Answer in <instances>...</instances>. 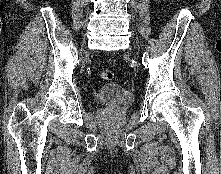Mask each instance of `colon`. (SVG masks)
<instances>
[{"label":"colon","instance_id":"1","mask_svg":"<svg viewBox=\"0 0 221 174\" xmlns=\"http://www.w3.org/2000/svg\"><path fill=\"white\" fill-rule=\"evenodd\" d=\"M100 76L105 81H111L114 78L113 72L109 69L102 70Z\"/></svg>","mask_w":221,"mask_h":174}]
</instances>
